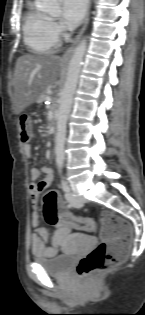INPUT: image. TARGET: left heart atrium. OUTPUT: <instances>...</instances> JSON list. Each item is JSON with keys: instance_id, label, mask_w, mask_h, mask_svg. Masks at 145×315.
<instances>
[{"instance_id": "left-heart-atrium-1", "label": "left heart atrium", "mask_w": 145, "mask_h": 315, "mask_svg": "<svg viewBox=\"0 0 145 315\" xmlns=\"http://www.w3.org/2000/svg\"><path fill=\"white\" fill-rule=\"evenodd\" d=\"M87 0H62L63 22L68 27L80 24L86 10Z\"/></svg>"}]
</instances>
